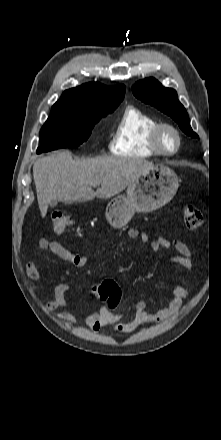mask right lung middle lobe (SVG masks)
<instances>
[{
	"label": "right lung middle lobe",
	"instance_id": "obj_1",
	"mask_svg": "<svg viewBox=\"0 0 221 440\" xmlns=\"http://www.w3.org/2000/svg\"><path fill=\"white\" fill-rule=\"evenodd\" d=\"M116 108L117 106L77 109L53 106L49 118L41 128V145L37 153L79 146L88 139L101 117Z\"/></svg>",
	"mask_w": 221,
	"mask_h": 440
}]
</instances>
